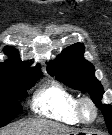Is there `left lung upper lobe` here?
I'll list each match as a JSON object with an SVG mask.
<instances>
[{
  "mask_svg": "<svg viewBox=\"0 0 112 135\" xmlns=\"http://www.w3.org/2000/svg\"><path fill=\"white\" fill-rule=\"evenodd\" d=\"M84 49L82 43H75L67 47L54 60V63L48 64L47 69L52 76L65 85L88 92L93 102L102 111L106 126L112 134V106L101 103L104 90L94 75L93 65L83 58Z\"/></svg>",
  "mask_w": 112,
  "mask_h": 135,
  "instance_id": "obj_1",
  "label": "left lung upper lobe"
}]
</instances>
